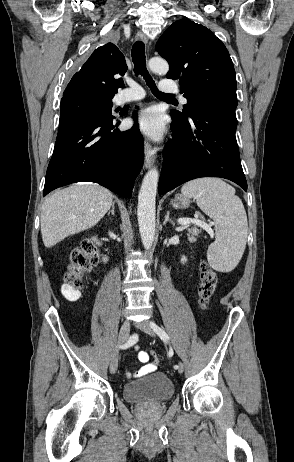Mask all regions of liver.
I'll list each match as a JSON object with an SVG mask.
<instances>
[{"label": "liver", "mask_w": 294, "mask_h": 462, "mask_svg": "<svg viewBox=\"0 0 294 462\" xmlns=\"http://www.w3.org/2000/svg\"><path fill=\"white\" fill-rule=\"evenodd\" d=\"M113 195L95 184L73 185L46 198L41 212L45 247L94 227L112 206Z\"/></svg>", "instance_id": "6515ba94"}]
</instances>
